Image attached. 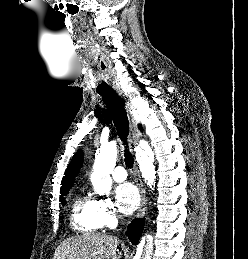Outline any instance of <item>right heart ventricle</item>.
<instances>
[{
  "label": "right heart ventricle",
  "mask_w": 248,
  "mask_h": 259,
  "mask_svg": "<svg viewBox=\"0 0 248 259\" xmlns=\"http://www.w3.org/2000/svg\"><path fill=\"white\" fill-rule=\"evenodd\" d=\"M70 223L80 232H95L102 225L97 210V200L84 194H78L72 204Z\"/></svg>",
  "instance_id": "1"
}]
</instances>
